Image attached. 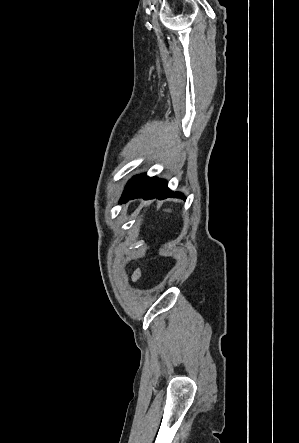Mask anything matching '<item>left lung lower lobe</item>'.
<instances>
[{"label":"left lung lower lobe","instance_id":"left-lung-lower-lobe-1","mask_svg":"<svg viewBox=\"0 0 299 443\" xmlns=\"http://www.w3.org/2000/svg\"><path fill=\"white\" fill-rule=\"evenodd\" d=\"M167 197L182 198L183 194L179 192H172L168 188L166 180L148 177L146 174H141L133 177L127 183L120 198V203L135 198H144L147 200L153 198L165 199Z\"/></svg>","mask_w":299,"mask_h":443}]
</instances>
